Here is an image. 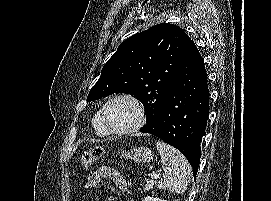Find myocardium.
<instances>
[{"label": "myocardium", "mask_w": 271, "mask_h": 201, "mask_svg": "<svg viewBox=\"0 0 271 201\" xmlns=\"http://www.w3.org/2000/svg\"><path fill=\"white\" fill-rule=\"evenodd\" d=\"M117 100H127L131 102L136 108L138 118H137L136 123L133 126L126 129L118 130V129L113 128L108 122L107 115H106L107 108L112 102L117 101ZM100 118L103 123V126L109 133L115 134V135H131L138 132L146 124V111H145V107L143 103L136 96L129 93H118L111 96L103 104L100 110Z\"/></svg>", "instance_id": "myocardium-1"}]
</instances>
